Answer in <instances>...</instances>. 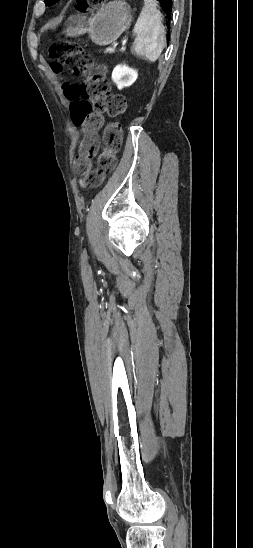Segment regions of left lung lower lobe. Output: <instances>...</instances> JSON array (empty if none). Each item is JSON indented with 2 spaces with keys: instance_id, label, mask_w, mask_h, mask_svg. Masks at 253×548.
I'll use <instances>...</instances> for the list:
<instances>
[{
  "instance_id": "obj_1",
  "label": "left lung lower lobe",
  "mask_w": 253,
  "mask_h": 548,
  "mask_svg": "<svg viewBox=\"0 0 253 548\" xmlns=\"http://www.w3.org/2000/svg\"><path fill=\"white\" fill-rule=\"evenodd\" d=\"M163 9L164 13L170 19L172 14L173 1L172 0H157Z\"/></svg>"
}]
</instances>
